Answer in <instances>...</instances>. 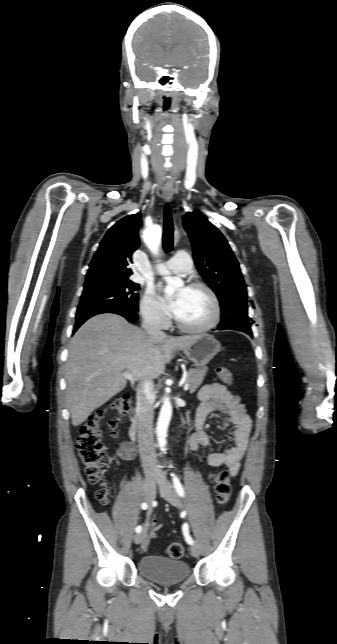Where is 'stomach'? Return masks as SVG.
Masks as SVG:
<instances>
[{
	"label": "stomach",
	"mask_w": 337,
	"mask_h": 644,
	"mask_svg": "<svg viewBox=\"0 0 337 644\" xmlns=\"http://www.w3.org/2000/svg\"><path fill=\"white\" fill-rule=\"evenodd\" d=\"M221 344L209 334H200L197 336L196 341L183 348L185 356L192 361L196 366L203 367L220 352Z\"/></svg>",
	"instance_id": "obj_1"
}]
</instances>
